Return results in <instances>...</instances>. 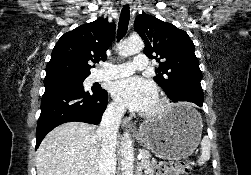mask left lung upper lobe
<instances>
[{
    "mask_svg": "<svg viewBox=\"0 0 251 175\" xmlns=\"http://www.w3.org/2000/svg\"><path fill=\"white\" fill-rule=\"evenodd\" d=\"M134 28L145 42V54L159 63L154 80L165 92L179 85L203 91L195 46L185 31L146 13L136 17Z\"/></svg>",
    "mask_w": 251,
    "mask_h": 175,
    "instance_id": "5c2ea615",
    "label": "left lung upper lobe"
}]
</instances>
